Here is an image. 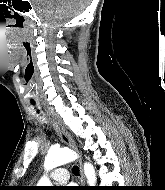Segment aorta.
Wrapping results in <instances>:
<instances>
[{
  "mask_svg": "<svg viewBox=\"0 0 165 190\" xmlns=\"http://www.w3.org/2000/svg\"><path fill=\"white\" fill-rule=\"evenodd\" d=\"M77 158L75 152L69 149H50L45 158L44 168L49 171L55 167L74 161ZM84 173L87 178V182L90 186H94L96 183V173L91 163L84 164ZM40 186H50L51 182L47 177H43L40 182Z\"/></svg>",
  "mask_w": 165,
  "mask_h": 190,
  "instance_id": "1",
  "label": "aorta"
}]
</instances>
